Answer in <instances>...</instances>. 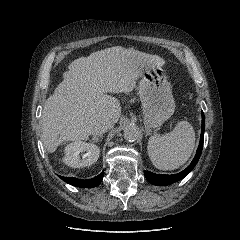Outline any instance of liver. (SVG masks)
Masks as SVG:
<instances>
[{
  "instance_id": "obj_1",
  "label": "liver",
  "mask_w": 240,
  "mask_h": 240,
  "mask_svg": "<svg viewBox=\"0 0 240 240\" xmlns=\"http://www.w3.org/2000/svg\"><path fill=\"white\" fill-rule=\"evenodd\" d=\"M164 63L159 56L121 46L74 60L43 108L44 146L54 152L63 142L87 140L102 121L112 128L121 107L119 100L107 93L133 91L146 68Z\"/></svg>"
}]
</instances>
